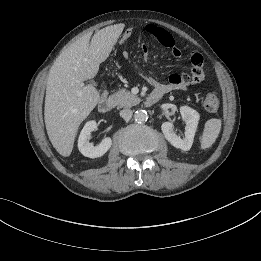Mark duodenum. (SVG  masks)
Wrapping results in <instances>:
<instances>
[{
    "label": "duodenum",
    "mask_w": 261,
    "mask_h": 261,
    "mask_svg": "<svg viewBox=\"0 0 261 261\" xmlns=\"http://www.w3.org/2000/svg\"><path fill=\"white\" fill-rule=\"evenodd\" d=\"M161 97H162L161 92L153 91L147 96V98L145 100V105L152 106V105L156 104L160 100ZM112 108H113L112 99H110L109 97L104 95L99 103V111L102 113H107V112L111 111Z\"/></svg>",
    "instance_id": "410a0bca"
}]
</instances>
